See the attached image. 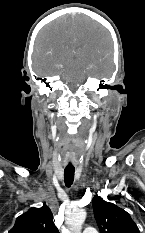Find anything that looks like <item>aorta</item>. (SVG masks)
I'll return each instance as SVG.
<instances>
[{
    "label": "aorta",
    "mask_w": 145,
    "mask_h": 233,
    "mask_svg": "<svg viewBox=\"0 0 145 233\" xmlns=\"http://www.w3.org/2000/svg\"><path fill=\"white\" fill-rule=\"evenodd\" d=\"M86 215L87 213L84 209L74 211L65 221L63 233H81L82 224L86 219Z\"/></svg>",
    "instance_id": "762f6f07"
}]
</instances>
